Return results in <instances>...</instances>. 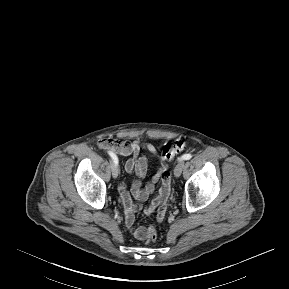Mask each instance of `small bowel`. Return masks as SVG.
I'll return each instance as SVG.
<instances>
[{
    "instance_id": "obj_1",
    "label": "small bowel",
    "mask_w": 289,
    "mask_h": 289,
    "mask_svg": "<svg viewBox=\"0 0 289 289\" xmlns=\"http://www.w3.org/2000/svg\"><path fill=\"white\" fill-rule=\"evenodd\" d=\"M100 148L109 150L114 154L122 156H130L125 162L124 168L128 173L135 174L138 178H144L148 170V160L141 154L142 150H146L153 155H158L156 147L151 143L141 144L138 141H116L112 139H103L99 143ZM160 167L155 174L152 175L150 181L142 185L140 181H135L131 188L122 182L119 185L120 197L124 207L125 224L130 234L138 240L147 239V228L143 226H135V214L142 210V207L134 203V199L140 202L147 200L150 194L155 190V185L161 180V188L158 195L152 200L151 204L144 208L146 214H152L157 210V219L161 222L168 208V197L171 193L170 172L167 166V159L162 155L159 157Z\"/></svg>"
}]
</instances>
